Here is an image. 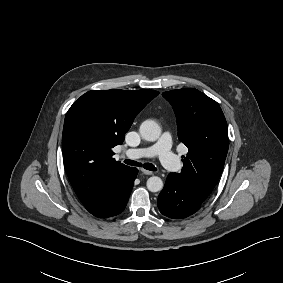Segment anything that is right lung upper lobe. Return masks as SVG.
Instances as JSON below:
<instances>
[{
	"mask_svg": "<svg viewBox=\"0 0 283 283\" xmlns=\"http://www.w3.org/2000/svg\"><path fill=\"white\" fill-rule=\"evenodd\" d=\"M159 93L154 90H92L68 110L62 135L63 161L78 198L90 211L108 184L129 167L113 158L137 114Z\"/></svg>",
	"mask_w": 283,
	"mask_h": 283,
	"instance_id": "cb5924a9",
	"label": "right lung upper lobe"
}]
</instances>
